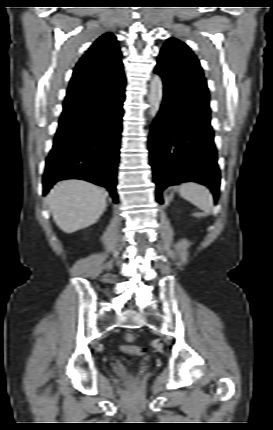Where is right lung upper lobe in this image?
<instances>
[{
  "label": "right lung upper lobe",
  "mask_w": 273,
  "mask_h": 430,
  "mask_svg": "<svg viewBox=\"0 0 273 430\" xmlns=\"http://www.w3.org/2000/svg\"><path fill=\"white\" fill-rule=\"evenodd\" d=\"M120 57L116 37L111 33L102 35L92 44L74 68L62 117L79 112L90 100L89 94L103 85L125 82Z\"/></svg>",
  "instance_id": "cb5924a9"
}]
</instances>
